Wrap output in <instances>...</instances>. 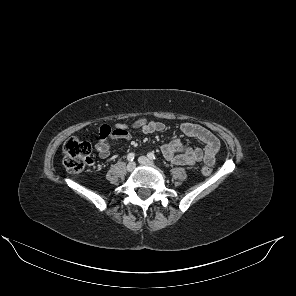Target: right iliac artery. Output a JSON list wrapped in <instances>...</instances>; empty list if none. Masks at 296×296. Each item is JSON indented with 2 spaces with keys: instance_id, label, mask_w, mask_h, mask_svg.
<instances>
[{
  "instance_id": "right-iliac-artery-1",
  "label": "right iliac artery",
  "mask_w": 296,
  "mask_h": 296,
  "mask_svg": "<svg viewBox=\"0 0 296 296\" xmlns=\"http://www.w3.org/2000/svg\"><path fill=\"white\" fill-rule=\"evenodd\" d=\"M134 158H135V154L134 153H129L128 155H127V160L128 161H133L134 160Z\"/></svg>"
}]
</instances>
